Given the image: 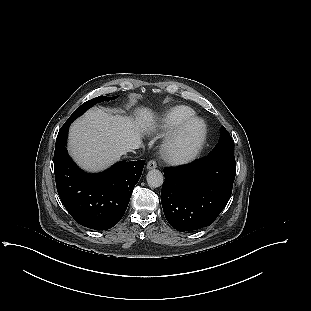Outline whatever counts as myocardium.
<instances>
[{
    "mask_svg": "<svg viewBox=\"0 0 311 311\" xmlns=\"http://www.w3.org/2000/svg\"><path fill=\"white\" fill-rule=\"evenodd\" d=\"M193 125H198L196 138L190 147L184 150L177 149V143L185 132H187ZM207 137V125L205 121L197 116H193L174 130L169 132L163 139L160 154L162 158L174 165L187 164L193 161L201 152Z\"/></svg>",
    "mask_w": 311,
    "mask_h": 311,
    "instance_id": "f54148a6",
    "label": "myocardium"
}]
</instances>
